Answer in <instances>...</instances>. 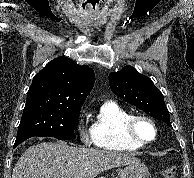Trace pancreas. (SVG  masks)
Segmentation results:
<instances>
[{"label": "pancreas", "instance_id": "obj_1", "mask_svg": "<svg viewBox=\"0 0 194 178\" xmlns=\"http://www.w3.org/2000/svg\"><path fill=\"white\" fill-rule=\"evenodd\" d=\"M99 178H106V177H104V176H101V177H99Z\"/></svg>", "mask_w": 194, "mask_h": 178}]
</instances>
